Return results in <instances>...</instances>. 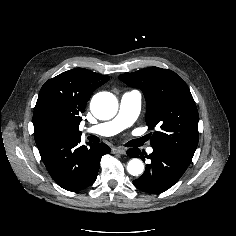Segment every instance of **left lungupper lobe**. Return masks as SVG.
<instances>
[{
	"instance_id": "1",
	"label": "left lung upper lobe",
	"mask_w": 236,
	"mask_h": 236,
	"mask_svg": "<svg viewBox=\"0 0 236 236\" xmlns=\"http://www.w3.org/2000/svg\"><path fill=\"white\" fill-rule=\"evenodd\" d=\"M131 87L142 90L146 99V124L159 131L150 133L152 146L194 155L198 145V111L184 80L175 72L158 67L119 76Z\"/></svg>"
}]
</instances>
